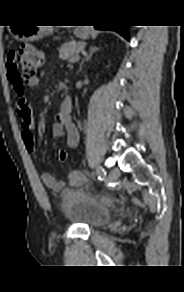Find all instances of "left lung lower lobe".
Returning a JSON list of instances; mask_svg holds the SVG:
<instances>
[{
    "instance_id": "left-lung-lower-lobe-1",
    "label": "left lung lower lobe",
    "mask_w": 184,
    "mask_h": 292,
    "mask_svg": "<svg viewBox=\"0 0 184 292\" xmlns=\"http://www.w3.org/2000/svg\"><path fill=\"white\" fill-rule=\"evenodd\" d=\"M94 27L100 30H114L129 40V33H128L129 26L95 25Z\"/></svg>"
}]
</instances>
